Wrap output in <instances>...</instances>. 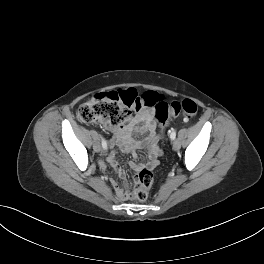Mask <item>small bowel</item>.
Listing matches in <instances>:
<instances>
[{
  "instance_id": "obj_1",
  "label": "small bowel",
  "mask_w": 264,
  "mask_h": 264,
  "mask_svg": "<svg viewBox=\"0 0 264 264\" xmlns=\"http://www.w3.org/2000/svg\"><path fill=\"white\" fill-rule=\"evenodd\" d=\"M156 126L157 121L155 111L152 109H147L142 110L133 116H129L126 124L115 131L114 142H116L120 146L121 150L125 153L135 152L142 146L140 141H137L131 137L132 132L149 134L144 142L149 151L148 161L144 166L131 162L130 167L135 171L140 170L142 167L154 168L158 164V158L161 151L158 145ZM107 161L113 166L120 176H124V173L116 160L115 152L108 154ZM112 186L119 199L126 200L131 198L130 191L126 185L122 187L114 181L112 182Z\"/></svg>"
}]
</instances>
